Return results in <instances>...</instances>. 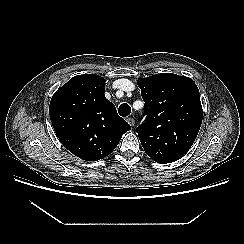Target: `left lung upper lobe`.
Instances as JSON below:
<instances>
[{"mask_svg":"<svg viewBox=\"0 0 244 244\" xmlns=\"http://www.w3.org/2000/svg\"><path fill=\"white\" fill-rule=\"evenodd\" d=\"M145 122L136 129L148 156L171 163L188 152L202 123L199 90L192 79L172 73L139 78Z\"/></svg>","mask_w":244,"mask_h":244,"instance_id":"5c2ea615","label":"left lung upper lobe"}]
</instances>
